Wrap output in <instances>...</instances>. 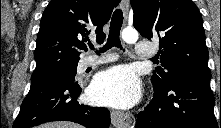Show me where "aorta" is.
<instances>
[{"label":"aorta","instance_id":"762f6f07","mask_svg":"<svg viewBox=\"0 0 221 128\" xmlns=\"http://www.w3.org/2000/svg\"><path fill=\"white\" fill-rule=\"evenodd\" d=\"M122 39L128 44H134L137 42L139 34L133 28H125L122 31Z\"/></svg>","mask_w":221,"mask_h":128}]
</instances>
